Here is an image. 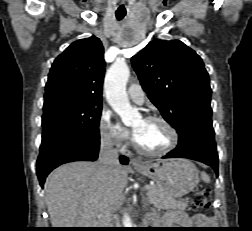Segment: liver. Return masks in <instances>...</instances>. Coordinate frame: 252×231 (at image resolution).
<instances>
[{
  "instance_id": "1",
  "label": "liver",
  "mask_w": 252,
  "mask_h": 231,
  "mask_svg": "<svg viewBox=\"0 0 252 231\" xmlns=\"http://www.w3.org/2000/svg\"><path fill=\"white\" fill-rule=\"evenodd\" d=\"M128 183L120 166L110 175L99 162H72L46 179L45 200L53 228H104Z\"/></svg>"
}]
</instances>
